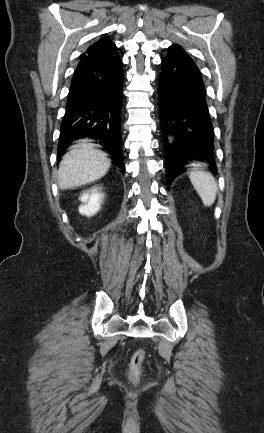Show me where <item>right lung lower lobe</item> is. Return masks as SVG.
Wrapping results in <instances>:
<instances>
[{
    "label": "right lung lower lobe",
    "mask_w": 264,
    "mask_h": 433,
    "mask_svg": "<svg viewBox=\"0 0 264 433\" xmlns=\"http://www.w3.org/2000/svg\"><path fill=\"white\" fill-rule=\"evenodd\" d=\"M123 70L119 56L84 54L76 68L61 123L58 155L73 139H98L115 164L122 161Z\"/></svg>",
    "instance_id": "98d812e1"
}]
</instances>
